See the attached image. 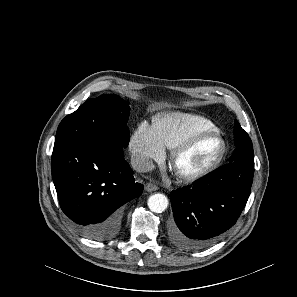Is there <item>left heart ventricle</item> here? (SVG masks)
<instances>
[{"label": "left heart ventricle", "mask_w": 297, "mask_h": 297, "mask_svg": "<svg viewBox=\"0 0 297 297\" xmlns=\"http://www.w3.org/2000/svg\"><path fill=\"white\" fill-rule=\"evenodd\" d=\"M218 150L219 141L217 138H203L178 159L177 168L184 173L198 171L212 161Z\"/></svg>", "instance_id": "b2bd125f"}]
</instances>
